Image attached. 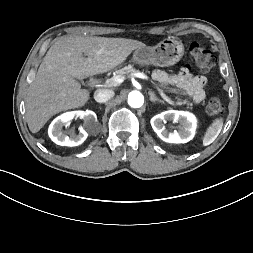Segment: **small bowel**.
Segmentation results:
<instances>
[{"instance_id": "small-bowel-1", "label": "small bowel", "mask_w": 253, "mask_h": 253, "mask_svg": "<svg viewBox=\"0 0 253 253\" xmlns=\"http://www.w3.org/2000/svg\"><path fill=\"white\" fill-rule=\"evenodd\" d=\"M191 64L188 61H183L180 64V73L175 76H168L165 72L157 70L153 74V78L164 84H169L181 89L195 103H200L205 98L206 78L204 76H193L190 74Z\"/></svg>"}]
</instances>
